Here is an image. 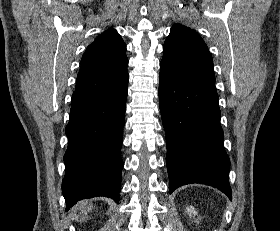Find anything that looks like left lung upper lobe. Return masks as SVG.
Here are the masks:
<instances>
[{"label":"left lung upper lobe","mask_w":280,"mask_h":231,"mask_svg":"<svg viewBox=\"0 0 280 231\" xmlns=\"http://www.w3.org/2000/svg\"><path fill=\"white\" fill-rule=\"evenodd\" d=\"M160 69L179 80L215 81L212 56L202 38L191 28L176 24L163 46Z\"/></svg>","instance_id":"1"}]
</instances>
